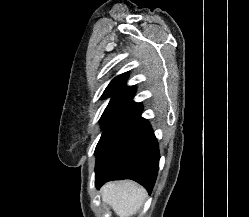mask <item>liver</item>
I'll return each instance as SVG.
<instances>
[{"label": "liver", "mask_w": 249, "mask_h": 217, "mask_svg": "<svg viewBox=\"0 0 249 217\" xmlns=\"http://www.w3.org/2000/svg\"><path fill=\"white\" fill-rule=\"evenodd\" d=\"M102 201L111 206L118 217H131L142 206L146 191L132 181L109 182L102 189Z\"/></svg>", "instance_id": "liver-1"}]
</instances>
